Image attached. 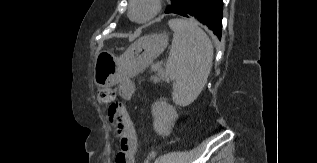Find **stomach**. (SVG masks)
<instances>
[{"instance_id": "stomach-1", "label": "stomach", "mask_w": 317, "mask_h": 163, "mask_svg": "<svg viewBox=\"0 0 317 163\" xmlns=\"http://www.w3.org/2000/svg\"><path fill=\"white\" fill-rule=\"evenodd\" d=\"M167 45L168 36L158 33L139 38L120 56L106 50L99 52L94 62V83L98 87H110L133 77L151 64Z\"/></svg>"}]
</instances>
